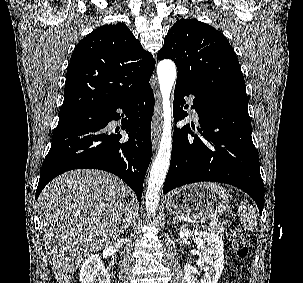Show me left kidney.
Segmentation results:
<instances>
[{
  "label": "left kidney",
  "mask_w": 303,
  "mask_h": 283,
  "mask_svg": "<svg viewBox=\"0 0 303 283\" xmlns=\"http://www.w3.org/2000/svg\"><path fill=\"white\" fill-rule=\"evenodd\" d=\"M196 243L198 250L202 253V258L197 262L204 271L200 274L191 264L184 266L185 279L187 283H217L224 269V243L218 235L198 230L181 228L179 237L183 241L191 236H197Z\"/></svg>",
  "instance_id": "5707ae66"
}]
</instances>
